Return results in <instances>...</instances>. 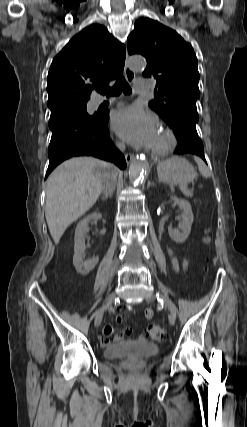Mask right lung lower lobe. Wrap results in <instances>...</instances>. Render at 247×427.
<instances>
[{"mask_svg":"<svg viewBox=\"0 0 247 427\" xmlns=\"http://www.w3.org/2000/svg\"><path fill=\"white\" fill-rule=\"evenodd\" d=\"M108 113L88 119L80 114L58 111L51 113L52 137L48 148L49 166L46 177L62 161L74 156H94L126 167L123 154L109 137Z\"/></svg>","mask_w":247,"mask_h":427,"instance_id":"1","label":"right lung lower lobe"}]
</instances>
